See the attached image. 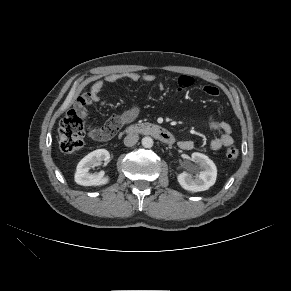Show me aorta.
<instances>
[{
    "mask_svg": "<svg viewBox=\"0 0 291 291\" xmlns=\"http://www.w3.org/2000/svg\"><path fill=\"white\" fill-rule=\"evenodd\" d=\"M153 139L149 136H146L142 139V146L145 148H151L153 146Z\"/></svg>",
    "mask_w": 291,
    "mask_h": 291,
    "instance_id": "aorta-1",
    "label": "aorta"
}]
</instances>
